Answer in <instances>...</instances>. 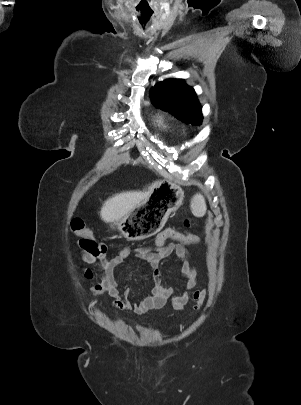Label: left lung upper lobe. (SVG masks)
<instances>
[{
  "label": "left lung upper lobe",
  "mask_w": 301,
  "mask_h": 405,
  "mask_svg": "<svg viewBox=\"0 0 301 405\" xmlns=\"http://www.w3.org/2000/svg\"><path fill=\"white\" fill-rule=\"evenodd\" d=\"M153 104L186 124L200 125L202 111L196 93L181 79H167L151 88Z\"/></svg>",
  "instance_id": "1"
}]
</instances>
